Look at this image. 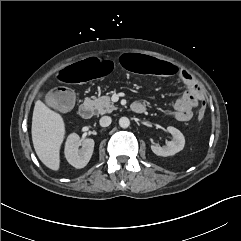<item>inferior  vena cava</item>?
<instances>
[{"label": "inferior vena cava", "instance_id": "inferior-vena-cava-1", "mask_svg": "<svg viewBox=\"0 0 241 241\" xmlns=\"http://www.w3.org/2000/svg\"><path fill=\"white\" fill-rule=\"evenodd\" d=\"M111 122H112V119L109 116H103L100 118V121H99V123L102 127L109 126L111 124Z\"/></svg>", "mask_w": 241, "mask_h": 241}]
</instances>
